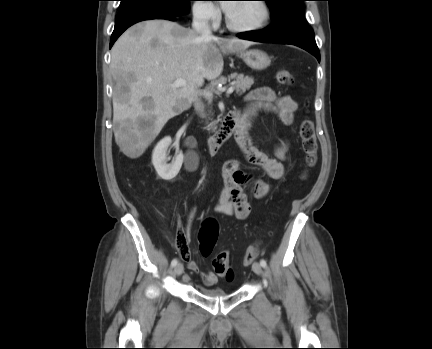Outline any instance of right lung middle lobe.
Masks as SVG:
<instances>
[{"label": "right lung middle lobe", "instance_id": "dd1d6c3e", "mask_svg": "<svg viewBox=\"0 0 432 349\" xmlns=\"http://www.w3.org/2000/svg\"><path fill=\"white\" fill-rule=\"evenodd\" d=\"M119 12L143 5H155L168 8L177 13L189 12L192 0H120Z\"/></svg>", "mask_w": 432, "mask_h": 349}]
</instances>
